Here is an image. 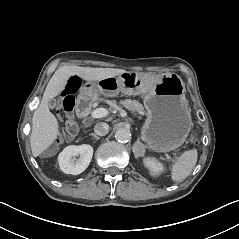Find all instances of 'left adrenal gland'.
Listing matches in <instances>:
<instances>
[{
    "label": "left adrenal gland",
    "mask_w": 239,
    "mask_h": 239,
    "mask_svg": "<svg viewBox=\"0 0 239 239\" xmlns=\"http://www.w3.org/2000/svg\"><path fill=\"white\" fill-rule=\"evenodd\" d=\"M141 145H142V144L140 143L139 139L137 140L136 143H134V145H133V147H132V150H133L134 154L137 153V148H138V146H141Z\"/></svg>",
    "instance_id": "left-adrenal-gland-1"
}]
</instances>
